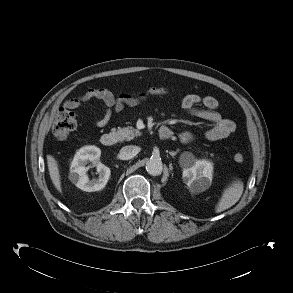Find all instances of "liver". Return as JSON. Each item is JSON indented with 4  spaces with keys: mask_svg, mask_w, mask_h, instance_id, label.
Returning a JSON list of instances; mask_svg holds the SVG:
<instances>
[{
    "mask_svg": "<svg viewBox=\"0 0 293 293\" xmlns=\"http://www.w3.org/2000/svg\"><path fill=\"white\" fill-rule=\"evenodd\" d=\"M47 166L53 185L55 186L58 192L62 193L59 167L56 159L52 155H47Z\"/></svg>",
    "mask_w": 293,
    "mask_h": 293,
    "instance_id": "1",
    "label": "liver"
}]
</instances>
